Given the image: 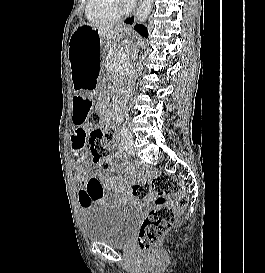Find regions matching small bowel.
<instances>
[{
	"label": "small bowel",
	"instance_id": "obj_1",
	"mask_svg": "<svg viewBox=\"0 0 265 273\" xmlns=\"http://www.w3.org/2000/svg\"><path fill=\"white\" fill-rule=\"evenodd\" d=\"M73 103L69 114L71 124H86V115L91 108L88 95H73ZM90 128L86 125H79L71 138V154L77 168V177L80 184L78 202L82 209L93 205L112 204L110 194L117 200H124L126 197L127 183L124 177L112 174L106 178L97 165H92L86 153V135ZM95 170L94 173H89Z\"/></svg>",
	"mask_w": 265,
	"mask_h": 273
}]
</instances>
